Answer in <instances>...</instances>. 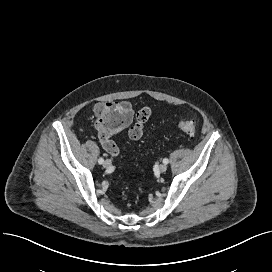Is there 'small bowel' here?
<instances>
[{"instance_id":"1","label":"small bowel","mask_w":272,"mask_h":272,"mask_svg":"<svg viewBox=\"0 0 272 272\" xmlns=\"http://www.w3.org/2000/svg\"><path fill=\"white\" fill-rule=\"evenodd\" d=\"M106 105L115 106V107L119 108L120 110H122L123 112L128 113L130 115V121H129L128 124H130V122L132 120V117H133V109H132V106H131V104L129 102H127V101H120V102L110 101V102H107V103H98L94 107L95 113L98 114L99 110L102 109L103 107H105ZM140 113H146L147 114V118H146V121H147L148 118H149V115H150V109L148 107H144L137 114H140ZM136 117H137V115H136ZM131 139L132 140H139L140 138L139 139L131 138ZM100 141H101L103 149L107 153H109L113 157L119 156L120 148L118 147V145L114 141L109 139L108 136L102 138Z\"/></svg>"}]
</instances>
